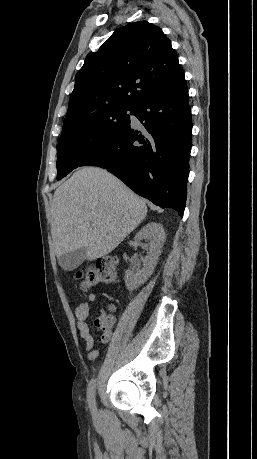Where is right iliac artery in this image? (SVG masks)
Wrapping results in <instances>:
<instances>
[{"mask_svg":"<svg viewBox=\"0 0 257 459\" xmlns=\"http://www.w3.org/2000/svg\"><path fill=\"white\" fill-rule=\"evenodd\" d=\"M95 387H96V380L92 379L88 385V404L89 407L94 411L95 410Z\"/></svg>","mask_w":257,"mask_h":459,"instance_id":"82829eb1","label":"right iliac artery"}]
</instances>
